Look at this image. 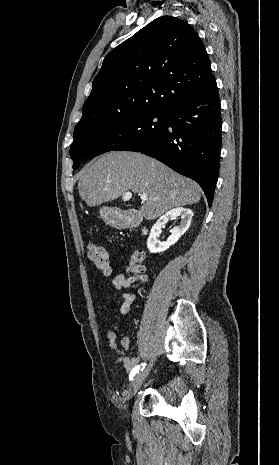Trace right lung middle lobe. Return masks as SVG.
<instances>
[{
    "mask_svg": "<svg viewBox=\"0 0 279 465\" xmlns=\"http://www.w3.org/2000/svg\"><path fill=\"white\" fill-rule=\"evenodd\" d=\"M167 117L166 110H143L100 125L75 127L70 148L73 169L84 159L150 143L164 131Z\"/></svg>",
    "mask_w": 279,
    "mask_h": 465,
    "instance_id": "right-lung-middle-lobe-1",
    "label": "right lung middle lobe"
}]
</instances>
